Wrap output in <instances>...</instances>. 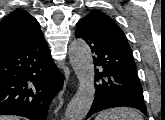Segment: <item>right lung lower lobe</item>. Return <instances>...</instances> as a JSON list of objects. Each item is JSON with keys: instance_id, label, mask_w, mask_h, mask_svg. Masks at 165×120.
Listing matches in <instances>:
<instances>
[{"instance_id": "right-lung-lower-lobe-1", "label": "right lung lower lobe", "mask_w": 165, "mask_h": 120, "mask_svg": "<svg viewBox=\"0 0 165 120\" xmlns=\"http://www.w3.org/2000/svg\"><path fill=\"white\" fill-rule=\"evenodd\" d=\"M62 85L43 35L0 51V115L46 120L48 104Z\"/></svg>"}]
</instances>
